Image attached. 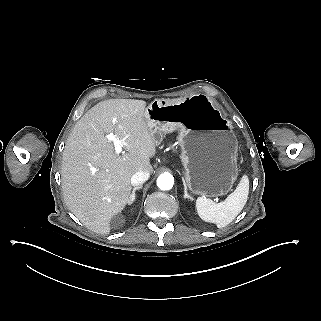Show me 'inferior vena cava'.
Instances as JSON below:
<instances>
[{"mask_svg":"<svg viewBox=\"0 0 321 321\" xmlns=\"http://www.w3.org/2000/svg\"><path fill=\"white\" fill-rule=\"evenodd\" d=\"M149 178V173L146 171H138L131 177V184L133 186L142 185Z\"/></svg>","mask_w":321,"mask_h":321,"instance_id":"obj_1","label":"inferior vena cava"}]
</instances>
